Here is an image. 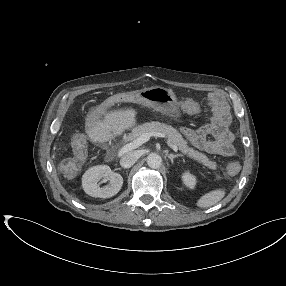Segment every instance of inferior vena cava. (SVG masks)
Listing matches in <instances>:
<instances>
[{
    "label": "inferior vena cava",
    "mask_w": 286,
    "mask_h": 286,
    "mask_svg": "<svg viewBox=\"0 0 286 286\" xmlns=\"http://www.w3.org/2000/svg\"><path fill=\"white\" fill-rule=\"evenodd\" d=\"M138 158H139V155L137 152H135V151L128 152L121 157L120 165L123 168H130L131 166H133L136 163Z\"/></svg>",
    "instance_id": "obj_1"
}]
</instances>
